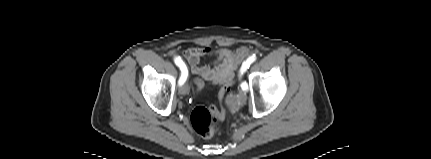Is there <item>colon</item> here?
<instances>
[{"label": "colon", "instance_id": "obj_1", "mask_svg": "<svg viewBox=\"0 0 431 159\" xmlns=\"http://www.w3.org/2000/svg\"><path fill=\"white\" fill-rule=\"evenodd\" d=\"M192 85L196 86L197 91H201L204 88V81L202 78H192ZM236 83V78H232L231 81L226 82L222 86L219 92V98L223 99L227 93L229 86ZM225 101L220 102V106H223ZM226 107H222V111H218L215 105L210 104V106H198L191 113V126L193 130L202 138L212 137L219 129V123H225Z\"/></svg>", "mask_w": 431, "mask_h": 159}]
</instances>
